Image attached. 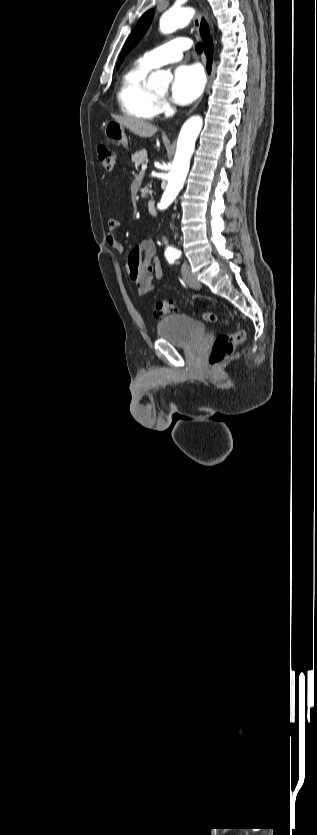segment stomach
I'll use <instances>...</instances> for the list:
<instances>
[{"label": "stomach", "mask_w": 317, "mask_h": 835, "mask_svg": "<svg viewBox=\"0 0 317 835\" xmlns=\"http://www.w3.org/2000/svg\"><path fill=\"white\" fill-rule=\"evenodd\" d=\"M105 136L108 140L121 144L124 147L128 146V140L125 134V127L117 121H108L104 128Z\"/></svg>", "instance_id": "1"}]
</instances>
